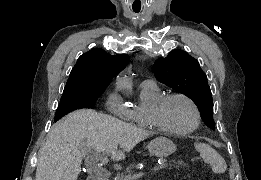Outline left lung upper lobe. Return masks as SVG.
<instances>
[{
	"label": "left lung upper lobe",
	"mask_w": 261,
	"mask_h": 180,
	"mask_svg": "<svg viewBox=\"0 0 261 180\" xmlns=\"http://www.w3.org/2000/svg\"><path fill=\"white\" fill-rule=\"evenodd\" d=\"M158 81L189 97L197 106L207 127L215 130L213 100L206 74L198 61L182 50H173L154 63Z\"/></svg>",
	"instance_id": "obj_1"
}]
</instances>
